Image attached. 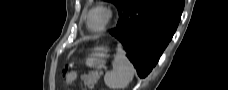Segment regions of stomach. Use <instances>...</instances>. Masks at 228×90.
<instances>
[{"label":"stomach","instance_id":"stomach-1","mask_svg":"<svg viewBox=\"0 0 228 90\" xmlns=\"http://www.w3.org/2000/svg\"><path fill=\"white\" fill-rule=\"evenodd\" d=\"M108 49L106 47H97L86 59V64L89 67L99 68L104 66L107 58ZM76 77V72H71L68 75L69 80H72Z\"/></svg>","mask_w":228,"mask_h":90}]
</instances>
